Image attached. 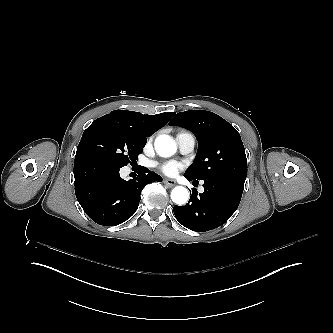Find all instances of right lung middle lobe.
<instances>
[{"label":"right lung middle lobe","mask_w":333,"mask_h":333,"mask_svg":"<svg viewBox=\"0 0 333 333\" xmlns=\"http://www.w3.org/2000/svg\"><path fill=\"white\" fill-rule=\"evenodd\" d=\"M146 141L114 123L93 122L84 131L76 154H94L121 168L137 160Z\"/></svg>","instance_id":"dd1d6c3e"}]
</instances>
